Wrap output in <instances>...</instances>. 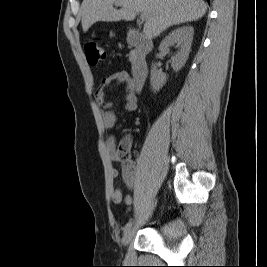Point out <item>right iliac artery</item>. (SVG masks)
<instances>
[{"label":"right iliac artery","instance_id":"obj_1","mask_svg":"<svg viewBox=\"0 0 267 267\" xmlns=\"http://www.w3.org/2000/svg\"><path fill=\"white\" fill-rule=\"evenodd\" d=\"M132 221H129L126 225H125V227H124V232H126L128 229H130V227L132 226Z\"/></svg>","mask_w":267,"mask_h":267}]
</instances>
